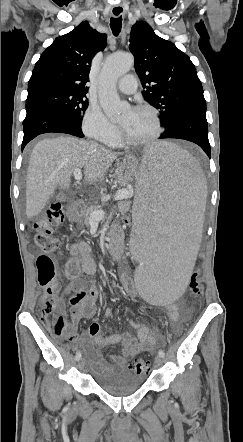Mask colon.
I'll use <instances>...</instances> for the list:
<instances>
[{
	"label": "colon",
	"mask_w": 243,
	"mask_h": 442,
	"mask_svg": "<svg viewBox=\"0 0 243 442\" xmlns=\"http://www.w3.org/2000/svg\"><path fill=\"white\" fill-rule=\"evenodd\" d=\"M130 213H121L119 220L123 222L125 229L131 228ZM64 211L61 204L51 202L46 210L45 217L34 224V242L45 254L37 259L38 282L44 289L42 299L41 319L51 325L55 334L59 337H68V322L64 313H56V298L58 294L57 273L54 262L47 255L59 248V240L53 235V227L62 224ZM202 273L201 265L194 267L189 280V292L193 299H202L203 284L200 280ZM131 370L137 374H147L151 371V363L142 357H133Z\"/></svg>",
	"instance_id": "colon-1"
}]
</instances>
